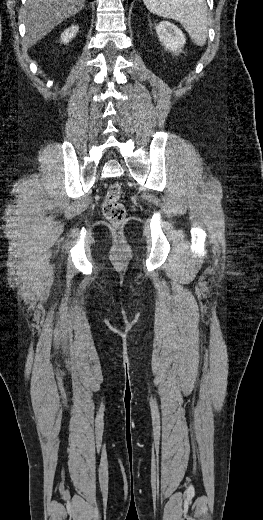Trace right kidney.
I'll use <instances>...</instances> for the list:
<instances>
[{
  "instance_id": "1",
  "label": "right kidney",
  "mask_w": 263,
  "mask_h": 520,
  "mask_svg": "<svg viewBox=\"0 0 263 520\" xmlns=\"http://www.w3.org/2000/svg\"><path fill=\"white\" fill-rule=\"evenodd\" d=\"M79 27L76 25H72L71 27L64 30L61 34V42L64 44L69 43L78 33Z\"/></svg>"
}]
</instances>
